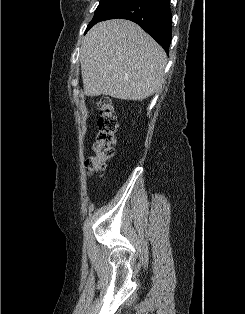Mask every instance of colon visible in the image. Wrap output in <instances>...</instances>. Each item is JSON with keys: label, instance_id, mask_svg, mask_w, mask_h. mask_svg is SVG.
<instances>
[{"label": "colon", "instance_id": "1", "mask_svg": "<svg viewBox=\"0 0 245 314\" xmlns=\"http://www.w3.org/2000/svg\"><path fill=\"white\" fill-rule=\"evenodd\" d=\"M95 104L100 112L98 120L99 131L94 144L95 155L88 159L87 167L91 175L99 176L105 170L106 162L114 154L117 121L109 97H100Z\"/></svg>", "mask_w": 245, "mask_h": 314}]
</instances>
